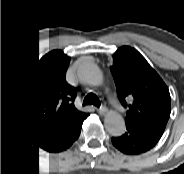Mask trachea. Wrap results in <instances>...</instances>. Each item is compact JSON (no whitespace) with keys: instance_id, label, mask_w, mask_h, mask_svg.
Here are the masks:
<instances>
[{"instance_id":"trachea-1","label":"trachea","mask_w":184,"mask_h":174,"mask_svg":"<svg viewBox=\"0 0 184 174\" xmlns=\"http://www.w3.org/2000/svg\"><path fill=\"white\" fill-rule=\"evenodd\" d=\"M85 103L86 104H94L96 106L100 105L99 99L97 98V96H95L92 93L87 95V97L85 98Z\"/></svg>"}]
</instances>
